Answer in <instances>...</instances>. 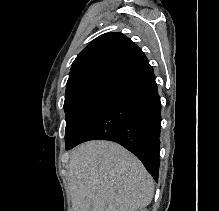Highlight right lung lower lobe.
<instances>
[{
    "label": "right lung lower lobe",
    "instance_id": "1",
    "mask_svg": "<svg viewBox=\"0 0 219 211\" xmlns=\"http://www.w3.org/2000/svg\"><path fill=\"white\" fill-rule=\"evenodd\" d=\"M160 124V97L147 65L108 93L69 149L89 140L114 141L135 154L157 181Z\"/></svg>",
    "mask_w": 219,
    "mask_h": 211
}]
</instances>
